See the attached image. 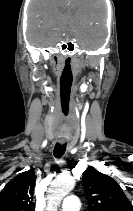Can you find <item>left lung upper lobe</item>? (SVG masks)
Masks as SVG:
<instances>
[{"label":"left lung upper lobe","instance_id":"left-lung-upper-lobe-1","mask_svg":"<svg viewBox=\"0 0 133 211\" xmlns=\"http://www.w3.org/2000/svg\"><path fill=\"white\" fill-rule=\"evenodd\" d=\"M88 211H133L119 184L110 176L89 167L83 173Z\"/></svg>","mask_w":133,"mask_h":211}]
</instances>
